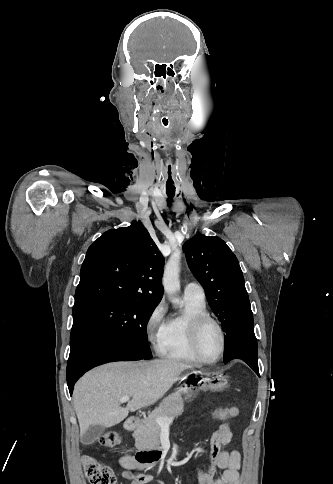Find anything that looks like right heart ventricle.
Returning a JSON list of instances; mask_svg holds the SVG:
<instances>
[{"mask_svg": "<svg viewBox=\"0 0 333 484\" xmlns=\"http://www.w3.org/2000/svg\"><path fill=\"white\" fill-rule=\"evenodd\" d=\"M208 314L205 300L184 296L183 311L170 316L164 322L158 348L161 356L191 365L203 363L192 349L190 327L195 318Z\"/></svg>", "mask_w": 333, "mask_h": 484, "instance_id": "right-heart-ventricle-1", "label": "right heart ventricle"}]
</instances>
